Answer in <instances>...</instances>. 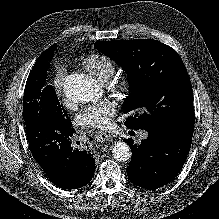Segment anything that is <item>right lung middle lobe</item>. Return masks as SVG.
<instances>
[{"label":"right lung middle lobe","instance_id":"1","mask_svg":"<svg viewBox=\"0 0 219 219\" xmlns=\"http://www.w3.org/2000/svg\"><path fill=\"white\" fill-rule=\"evenodd\" d=\"M55 46L56 44L50 46L38 57L27 78L23 97L25 123L44 113L58 117L65 126H72L71 119L59 102L55 89L45 84Z\"/></svg>","mask_w":219,"mask_h":219}]
</instances>
